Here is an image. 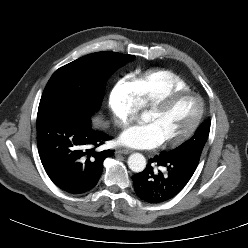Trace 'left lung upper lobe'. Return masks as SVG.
<instances>
[{
	"label": "left lung upper lobe",
	"instance_id": "1",
	"mask_svg": "<svg viewBox=\"0 0 248 248\" xmlns=\"http://www.w3.org/2000/svg\"><path fill=\"white\" fill-rule=\"evenodd\" d=\"M210 131V119L206 120L195 132L191 139L184 142L177 148L167 152L169 155L180 156H198L202 154V150L207 141Z\"/></svg>",
	"mask_w": 248,
	"mask_h": 248
}]
</instances>
